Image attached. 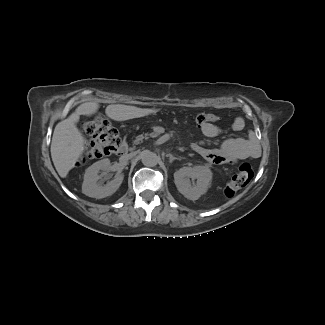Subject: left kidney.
Wrapping results in <instances>:
<instances>
[{
	"label": "left kidney",
	"mask_w": 325,
	"mask_h": 325,
	"mask_svg": "<svg viewBox=\"0 0 325 325\" xmlns=\"http://www.w3.org/2000/svg\"><path fill=\"white\" fill-rule=\"evenodd\" d=\"M212 176V171L206 165L182 167L174 173V182L184 197L194 201L207 192ZM190 178L196 182L192 184Z\"/></svg>",
	"instance_id": "left-kidney-1"
}]
</instances>
